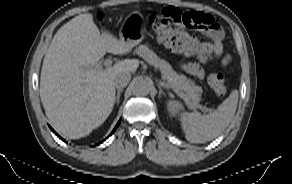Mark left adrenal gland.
<instances>
[{"instance_id": "obj_1", "label": "left adrenal gland", "mask_w": 292, "mask_h": 184, "mask_svg": "<svg viewBox=\"0 0 292 184\" xmlns=\"http://www.w3.org/2000/svg\"><path fill=\"white\" fill-rule=\"evenodd\" d=\"M158 88H159V97L161 98L162 97V95H166L164 92H163V89H162V87H161V85L159 84L158 85Z\"/></svg>"}]
</instances>
